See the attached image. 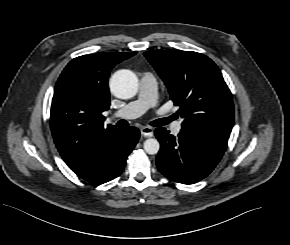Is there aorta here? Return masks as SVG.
Segmentation results:
<instances>
[{"label": "aorta", "instance_id": "762f6f07", "mask_svg": "<svg viewBox=\"0 0 290 245\" xmlns=\"http://www.w3.org/2000/svg\"><path fill=\"white\" fill-rule=\"evenodd\" d=\"M112 93L121 99H129L138 91V79L130 70H119L110 79ZM160 144L157 139L149 138L144 142V150L150 155L157 154Z\"/></svg>", "mask_w": 290, "mask_h": 245}]
</instances>
